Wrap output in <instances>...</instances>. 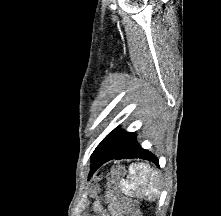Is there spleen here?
I'll list each match as a JSON object with an SVG mask.
<instances>
[{
  "instance_id": "3e777b00",
  "label": "spleen",
  "mask_w": 221,
  "mask_h": 216,
  "mask_svg": "<svg viewBox=\"0 0 221 216\" xmlns=\"http://www.w3.org/2000/svg\"><path fill=\"white\" fill-rule=\"evenodd\" d=\"M120 186L126 195L139 198L157 197L160 193L158 171L145 163L132 164L129 167L127 180L122 179Z\"/></svg>"
}]
</instances>
